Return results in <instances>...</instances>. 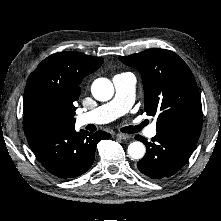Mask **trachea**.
Listing matches in <instances>:
<instances>
[{"label": "trachea", "mask_w": 221, "mask_h": 221, "mask_svg": "<svg viewBox=\"0 0 221 221\" xmlns=\"http://www.w3.org/2000/svg\"><path fill=\"white\" fill-rule=\"evenodd\" d=\"M146 124L142 123L138 126H128L121 129L123 133H137L139 132Z\"/></svg>", "instance_id": "trachea-1"}]
</instances>
